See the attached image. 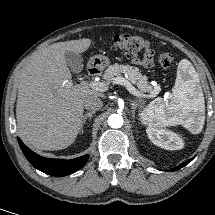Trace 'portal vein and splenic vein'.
<instances>
[{
	"label": "portal vein and splenic vein",
	"instance_id": "portal-vein-and-splenic-vein-1",
	"mask_svg": "<svg viewBox=\"0 0 215 215\" xmlns=\"http://www.w3.org/2000/svg\"><path fill=\"white\" fill-rule=\"evenodd\" d=\"M113 83L126 87V89L136 97H141V98L154 97L153 95H145V94L141 93L127 79H125L123 77H116L114 79ZM84 86L90 87V88H92L96 91H100V92H105L108 89L107 85L104 82H99V81L86 82V83H84Z\"/></svg>",
	"mask_w": 215,
	"mask_h": 215
}]
</instances>
